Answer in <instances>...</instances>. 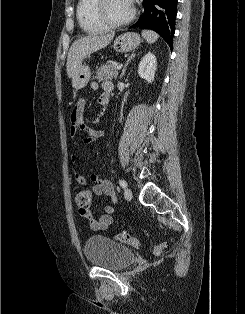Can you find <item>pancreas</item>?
Returning <instances> with one entry per match:
<instances>
[{
	"label": "pancreas",
	"mask_w": 245,
	"mask_h": 314,
	"mask_svg": "<svg viewBox=\"0 0 245 314\" xmlns=\"http://www.w3.org/2000/svg\"><path fill=\"white\" fill-rule=\"evenodd\" d=\"M117 66V63H110L101 66L96 71V76L93 79L98 80L99 82L116 79L118 76V71L116 70Z\"/></svg>",
	"instance_id": "obj_1"
}]
</instances>
